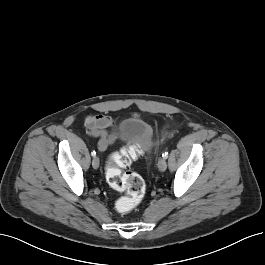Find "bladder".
Masks as SVG:
<instances>
[{
  "instance_id": "bladder-1",
  "label": "bladder",
  "mask_w": 265,
  "mask_h": 265,
  "mask_svg": "<svg viewBox=\"0 0 265 265\" xmlns=\"http://www.w3.org/2000/svg\"><path fill=\"white\" fill-rule=\"evenodd\" d=\"M117 138L122 142H135L142 149H149L153 141L149 123L139 116L128 117L121 121Z\"/></svg>"
}]
</instances>
